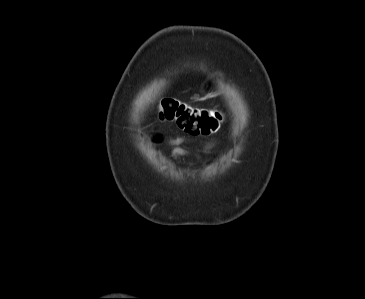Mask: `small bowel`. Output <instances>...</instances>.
<instances>
[{
	"mask_svg": "<svg viewBox=\"0 0 365 299\" xmlns=\"http://www.w3.org/2000/svg\"><path fill=\"white\" fill-rule=\"evenodd\" d=\"M184 142H186L184 137H176L169 140V143L173 146L172 154L174 157H181L189 153L187 149L180 146Z\"/></svg>",
	"mask_w": 365,
	"mask_h": 299,
	"instance_id": "1",
	"label": "small bowel"
}]
</instances>
